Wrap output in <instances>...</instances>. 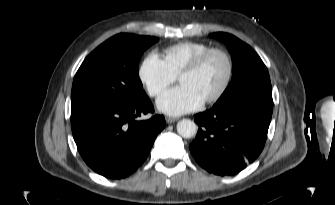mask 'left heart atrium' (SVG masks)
<instances>
[{
  "instance_id": "obj_1",
  "label": "left heart atrium",
  "mask_w": 335,
  "mask_h": 205,
  "mask_svg": "<svg viewBox=\"0 0 335 205\" xmlns=\"http://www.w3.org/2000/svg\"><path fill=\"white\" fill-rule=\"evenodd\" d=\"M203 100L188 86L179 85L164 92L157 100L158 109L177 116L200 108Z\"/></svg>"
}]
</instances>
